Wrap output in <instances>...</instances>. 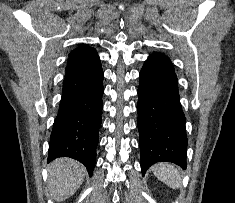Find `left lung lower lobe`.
<instances>
[{
  "instance_id": "0a47b994",
  "label": "left lung lower lobe",
  "mask_w": 235,
  "mask_h": 203,
  "mask_svg": "<svg viewBox=\"0 0 235 203\" xmlns=\"http://www.w3.org/2000/svg\"><path fill=\"white\" fill-rule=\"evenodd\" d=\"M139 146L141 170L169 161L186 168L187 136L178 81L170 59L153 53L140 72L138 88Z\"/></svg>"
}]
</instances>
